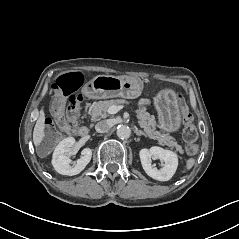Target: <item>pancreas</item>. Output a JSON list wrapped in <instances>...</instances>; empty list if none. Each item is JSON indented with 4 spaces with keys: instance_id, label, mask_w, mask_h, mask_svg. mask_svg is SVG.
Masks as SVG:
<instances>
[{
    "instance_id": "cf45deb5",
    "label": "pancreas",
    "mask_w": 239,
    "mask_h": 239,
    "mask_svg": "<svg viewBox=\"0 0 239 239\" xmlns=\"http://www.w3.org/2000/svg\"><path fill=\"white\" fill-rule=\"evenodd\" d=\"M134 102L132 100H127L123 98L103 100L93 103V108L91 111V120L102 119L107 117V110L111 106L119 105H130ZM136 117L140 120L139 125L143 128L147 136L152 139H156L159 145H166L171 149H175L176 152L180 154L184 153V149L175 141L172 136H167L166 134L161 135L160 132L155 131V121L154 116L147 112V107L142 105L135 110ZM152 127V128H151Z\"/></svg>"
}]
</instances>
